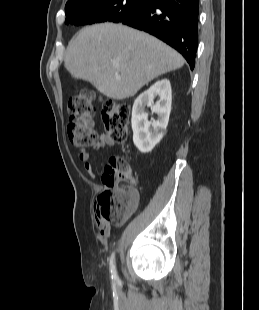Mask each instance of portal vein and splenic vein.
I'll return each mask as SVG.
<instances>
[{"label": "portal vein and splenic vein", "instance_id": "1", "mask_svg": "<svg viewBox=\"0 0 259 310\" xmlns=\"http://www.w3.org/2000/svg\"><path fill=\"white\" fill-rule=\"evenodd\" d=\"M112 64H113V66H115V67H117V66H118V63H117V62H115V61H113V62H112Z\"/></svg>", "mask_w": 259, "mask_h": 310}]
</instances>
